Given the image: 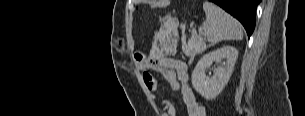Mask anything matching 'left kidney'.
I'll use <instances>...</instances> for the list:
<instances>
[{"label": "left kidney", "mask_w": 305, "mask_h": 116, "mask_svg": "<svg viewBox=\"0 0 305 116\" xmlns=\"http://www.w3.org/2000/svg\"><path fill=\"white\" fill-rule=\"evenodd\" d=\"M237 57L238 51L232 46H223L220 49L205 54L198 61L192 73L193 88L207 100L216 98L228 83L234 70ZM223 59L226 61L214 71L213 76H206V69L213 62L220 64Z\"/></svg>", "instance_id": "5707ae66"}]
</instances>
